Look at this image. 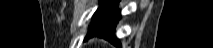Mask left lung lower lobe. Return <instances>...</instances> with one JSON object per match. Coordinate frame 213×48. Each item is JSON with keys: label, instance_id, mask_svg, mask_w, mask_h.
Masks as SVG:
<instances>
[{"label": "left lung lower lobe", "instance_id": "obj_1", "mask_svg": "<svg viewBox=\"0 0 213 48\" xmlns=\"http://www.w3.org/2000/svg\"><path fill=\"white\" fill-rule=\"evenodd\" d=\"M118 1L110 8L94 16L86 38L101 37L121 48V44L115 36V27L121 18L120 11L117 9Z\"/></svg>", "mask_w": 213, "mask_h": 48}]
</instances>
